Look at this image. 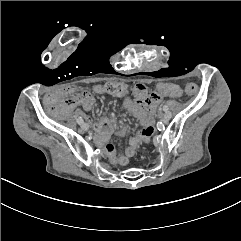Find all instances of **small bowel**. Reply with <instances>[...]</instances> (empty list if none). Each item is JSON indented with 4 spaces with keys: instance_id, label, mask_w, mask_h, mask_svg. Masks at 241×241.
<instances>
[{
    "instance_id": "obj_1",
    "label": "small bowel",
    "mask_w": 241,
    "mask_h": 241,
    "mask_svg": "<svg viewBox=\"0 0 241 241\" xmlns=\"http://www.w3.org/2000/svg\"><path fill=\"white\" fill-rule=\"evenodd\" d=\"M105 84L95 85L93 88V92L96 94H104ZM65 91L62 89L58 91L56 94L60 96ZM67 93L71 95L73 98L68 97L65 100L66 106L64 107L66 110L69 107L77 108V111L80 114H83L84 111H89L94 103V97L91 93L86 91H80L76 86H71L67 89ZM133 93L135 95V99L133 101H125L123 104V108L135 115L140 120L141 128L140 130L130 138L129 143L125 151L116 155L113 145L110 143L111 136L114 132H116L120 136H124L128 129L125 125H121L118 129L115 128L113 121L108 118L98 119L93 128L97 133V140L100 144L104 145L110 160L112 163H120L121 165H126L129 162V159L135 154L137 148L140 144L149 143L154 132H155V110L159 102L161 101L163 96L157 95L155 91H152L149 95H147V87L143 83L135 84L133 88ZM55 93L49 96L47 101L45 102L47 105L45 106L48 113L52 116L57 111V115H64L66 112L61 111L57 107V102L53 100L57 95ZM125 95V94H124ZM122 95V96H124ZM119 96V97H122ZM52 103L53 105H48ZM109 147L112 148V151H109Z\"/></svg>"
}]
</instances>
